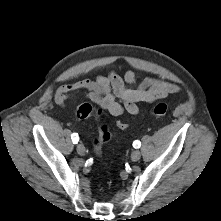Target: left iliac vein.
<instances>
[{"label":"left iliac vein","mask_w":221,"mask_h":221,"mask_svg":"<svg viewBox=\"0 0 221 221\" xmlns=\"http://www.w3.org/2000/svg\"><path fill=\"white\" fill-rule=\"evenodd\" d=\"M141 158V152L139 150H135L131 154L132 161H138Z\"/></svg>","instance_id":"left-iliac-vein-1"}]
</instances>
